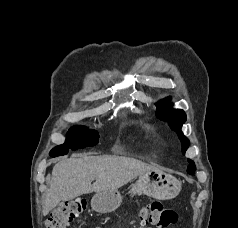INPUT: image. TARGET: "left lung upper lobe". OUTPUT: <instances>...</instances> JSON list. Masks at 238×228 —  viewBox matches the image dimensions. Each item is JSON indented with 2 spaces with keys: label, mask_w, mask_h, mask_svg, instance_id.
<instances>
[{
  "label": "left lung upper lobe",
  "mask_w": 238,
  "mask_h": 228,
  "mask_svg": "<svg viewBox=\"0 0 238 228\" xmlns=\"http://www.w3.org/2000/svg\"><path fill=\"white\" fill-rule=\"evenodd\" d=\"M167 98L166 100H168ZM165 100L160 101L157 104L156 114L157 116L164 121L169 122L171 129L176 131L179 139L182 143V152L185 154V151L189 147V140L183 135L181 131V127L186 121V114L183 110L180 109H172V103L163 105ZM190 165L187 167V172L189 174H194L196 167L192 160L188 159Z\"/></svg>",
  "instance_id": "1"
}]
</instances>
